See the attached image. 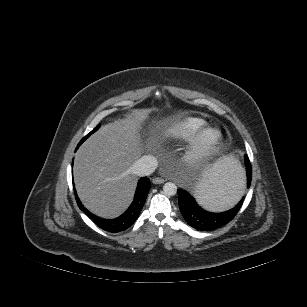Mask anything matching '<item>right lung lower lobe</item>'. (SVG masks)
I'll list each match as a JSON object with an SVG mask.
<instances>
[{
    "label": "right lung lower lobe",
    "instance_id": "obj_1",
    "mask_svg": "<svg viewBox=\"0 0 307 307\" xmlns=\"http://www.w3.org/2000/svg\"><path fill=\"white\" fill-rule=\"evenodd\" d=\"M80 144L81 142L79 143V145ZM149 190L150 180L147 177L141 178L138 182L132 204L125 213L115 219H102L93 215L82 205L79 198L77 197L76 191L75 195L79 208L84 213H86L98 227L108 232H120L129 228L136 221L143 208Z\"/></svg>",
    "mask_w": 307,
    "mask_h": 307
}]
</instances>
